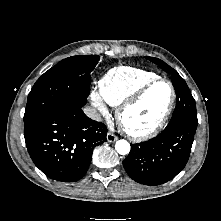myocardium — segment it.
I'll return each instance as SVG.
<instances>
[{"label": "myocardium", "mask_w": 221, "mask_h": 221, "mask_svg": "<svg viewBox=\"0 0 221 221\" xmlns=\"http://www.w3.org/2000/svg\"><path fill=\"white\" fill-rule=\"evenodd\" d=\"M161 82L167 83L170 86L171 98L160 120L152 128L148 130L137 131V130L129 128L126 125V122L124 120L125 113L129 111L130 109H132L133 107H135L137 104H139L150 88H152L154 85L161 83ZM175 101H176V90H175L173 83L167 78L156 77L148 81L147 83L143 84L130 97H128L118 106L117 111H116V119L121 129L123 130V132L129 138L133 140H138V141L145 140L156 135L164 127V125L168 121L173 111Z\"/></svg>", "instance_id": "1"}]
</instances>
